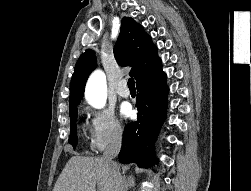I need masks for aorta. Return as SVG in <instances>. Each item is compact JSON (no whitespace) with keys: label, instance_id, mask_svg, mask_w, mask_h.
Instances as JSON below:
<instances>
[{"label":"aorta","instance_id":"762f6f07","mask_svg":"<svg viewBox=\"0 0 251 191\" xmlns=\"http://www.w3.org/2000/svg\"><path fill=\"white\" fill-rule=\"evenodd\" d=\"M85 97L93 107H103L106 101V76L101 70H96L88 78L85 88Z\"/></svg>","mask_w":251,"mask_h":191}]
</instances>
